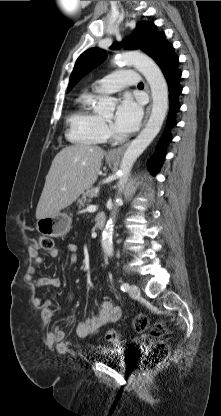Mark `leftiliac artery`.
Here are the masks:
<instances>
[{"mask_svg": "<svg viewBox=\"0 0 221 416\" xmlns=\"http://www.w3.org/2000/svg\"><path fill=\"white\" fill-rule=\"evenodd\" d=\"M129 288H130V286H129V284L128 283H123L122 285H121V290L122 291H128L129 290Z\"/></svg>", "mask_w": 221, "mask_h": 416, "instance_id": "1", "label": "left iliac artery"}]
</instances>
